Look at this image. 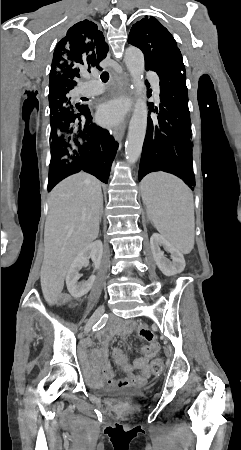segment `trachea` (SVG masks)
Returning a JSON list of instances; mask_svg holds the SVG:
<instances>
[{
	"label": "trachea",
	"mask_w": 241,
	"mask_h": 450,
	"mask_svg": "<svg viewBox=\"0 0 241 450\" xmlns=\"http://www.w3.org/2000/svg\"><path fill=\"white\" fill-rule=\"evenodd\" d=\"M100 78H101L102 82H107L109 79V73L108 72L101 73Z\"/></svg>",
	"instance_id": "3493384b"
}]
</instances>
